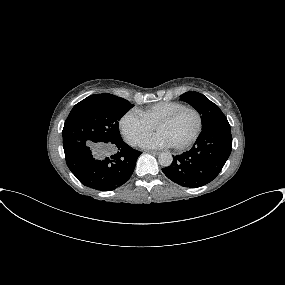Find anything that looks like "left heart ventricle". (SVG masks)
Returning a JSON list of instances; mask_svg holds the SVG:
<instances>
[{
    "label": "left heart ventricle",
    "mask_w": 285,
    "mask_h": 285,
    "mask_svg": "<svg viewBox=\"0 0 285 285\" xmlns=\"http://www.w3.org/2000/svg\"><path fill=\"white\" fill-rule=\"evenodd\" d=\"M197 123L194 112L184 111L172 122L159 126L157 132L164 134L172 146H179L193 135Z\"/></svg>",
    "instance_id": "1"
}]
</instances>
